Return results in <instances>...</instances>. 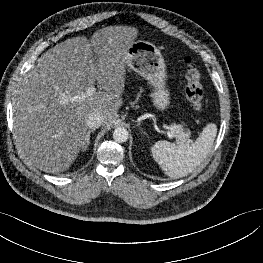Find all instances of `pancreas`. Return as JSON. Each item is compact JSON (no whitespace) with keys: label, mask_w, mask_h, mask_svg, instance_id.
<instances>
[{"label":"pancreas","mask_w":263,"mask_h":263,"mask_svg":"<svg viewBox=\"0 0 263 263\" xmlns=\"http://www.w3.org/2000/svg\"><path fill=\"white\" fill-rule=\"evenodd\" d=\"M183 128L182 125H171V132L176 136L179 143H184L190 137V131Z\"/></svg>","instance_id":"obj_1"}]
</instances>
